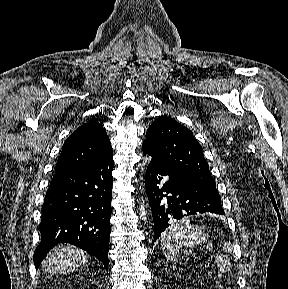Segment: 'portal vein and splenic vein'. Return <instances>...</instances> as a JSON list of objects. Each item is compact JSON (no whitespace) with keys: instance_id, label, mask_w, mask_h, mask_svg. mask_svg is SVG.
I'll return each mask as SVG.
<instances>
[{"instance_id":"obj_1","label":"portal vein and splenic vein","mask_w":288,"mask_h":289,"mask_svg":"<svg viewBox=\"0 0 288 289\" xmlns=\"http://www.w3.org/2000/svg\"><path fill=\"white\" fill-rule=\"evenodd\" d=\"M209 266L208 265H205V268H208Z\"/></svg>"}]
</instances>
